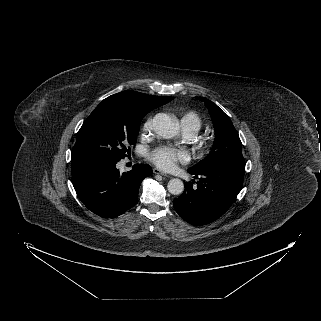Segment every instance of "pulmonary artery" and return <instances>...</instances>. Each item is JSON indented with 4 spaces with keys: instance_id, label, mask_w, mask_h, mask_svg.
<instances>
[{
    "instance_id": "1",
    "label": "pulmonary artery",
    "mask_w": 321,
    "mask_h": 321,
    "mask_svg": "<svg viewBox=\"0 0 321 321\" xmlns=\"http://www.w3.org/2000/svg\"><path fill=\"white\" fill-rule=\"evenodd\" d=\"M184 134L187 138H192L196 133L189 129H184Z\"/></svg>"
}]
</instances>
